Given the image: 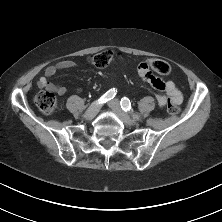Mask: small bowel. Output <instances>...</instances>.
Here are the masks:
<instances>
[{
    "instance_id": "1",
    "label": "small bowel",
    "mask_w": 222,
    "mask_h": 222,
    "mask_svg": "<svg viewBox=\"0 0 222 222\" xmlns=\"http://www.w3.org/2000/svg\"><path fill=\"white\" fill-rule=\"evenodd\" d=\"M143 62L138 66V77L147 81L157 91L156 97L160 107H164L167 99L174 104L179 105L182 102V94L177 86L172 81H166L161 76L153 74L151 70H141ZM77 64L74 61L65 60L49 65L45 69V76L38 81V86L49 91L55 92L59 95H64L67 89L62 85L53 84L49 79L54 77L59 70L75 68ZM164 92L166 95L162 94Z\"/></svg>"
}]
</instances>
